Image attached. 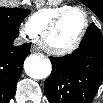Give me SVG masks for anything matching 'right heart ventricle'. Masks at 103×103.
Returning a JSON list of instances; mask_svg holds the SVG:
<instances>
[{
    "label": "right heart ventricle",
    "instance_id": "obj_1",
    "mask_svg": "<svg viewBox=\"0 0 103 103\" xmlns=\"http://www.w3.org/2000/svg\"><path fill=\"white\" fill-rule=\"evenodd\" d=\"M68 8L70 6L62 5L40 9L27 19L25 28L31 34V37H38L52 19Z\"/></svg>",
    "mask_w": 103,
    "mask_h": 103
}]
</instances>
